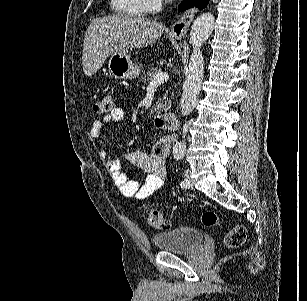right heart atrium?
<instances>
[{
	"label": "right heart atrium",
	"instance_id": "d8ad5b80",
	"mask_svg": "<svg viewBox=\"0 0 307 301\" xmlns=\"http://www.w3.org/2000/svg\"><path fill=\"white\" fill-rule=\"evenodd\" d=\"M153 5H156V2H153V4H146L145 6L146 11H153L154 9Z\"/></svg>",
	"mask_w": 307,
	"mask_h": 301
}]
</instances>
